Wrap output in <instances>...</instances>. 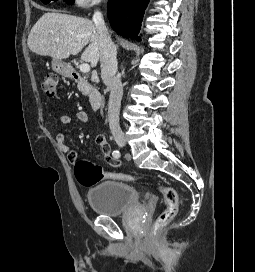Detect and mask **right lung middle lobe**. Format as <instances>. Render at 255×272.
Wrapping results in <instances>:
<instances>
[{"mask_svg":"<svg viewBox=\"0 0 255 272\" xmlns=\"http://www.w3.org/2000/svg\"><path fill=\"white\" fill-rule=\"evenodd\" d=\"M44 4H47V3H49L50 1H57V0H41ZM74 2V0H68V3H73Z\"/></svg>","mask_w":255,"mask_h":272,"instance_id":"1","label":"right lung middle lobe"}]
</instances>
